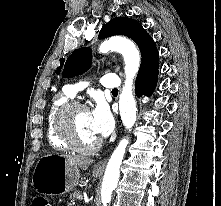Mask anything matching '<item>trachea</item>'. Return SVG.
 I'll use <instances>...</instances> for the list:
<instances>
[{
	"label": "trachea",
	"mask_w": 221,
	"mask_h": 206,
	"mask_svg": "<svg viewBox=\"0 0 221 206\" xmlns=\"http://www.w3.org/2000/svg\"><path fill=\"white\" fill-rule=\"evenodd\" d=\"M112 92H118V90L117 89H113Z\"/></svg>",
	"instance_id": "trachea-1"
}]
</instances>
